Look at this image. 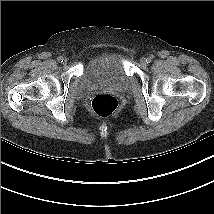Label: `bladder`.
<instances>
[{"mask_svg":"<svg viewBox=\"0 0 214 214\" xmlns=\"http://www.w3.org/2000/svg\"><path fill=\"white\" fill-rule=\"evenodd\" d=\"M99 86L112 87L118 91L128 86V77L118 53L110 52L90 60L82 72L76 93L83 95Z\"/></svg>","mask_w":214,"mask_h":214,"instance_id":"obj_1","label":"bladder"}]
</instances>
